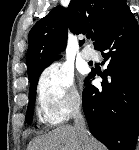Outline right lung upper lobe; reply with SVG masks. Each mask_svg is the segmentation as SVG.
<instances>
[{
	"label": "right lung upper lobe",
	"instance_id": "obj_1",
	"mask_svg": "<svg viewBox=\"0 0 139 150\" xmlns=\"http://www.w3.org/2000/svg\"><path fill=\"white\" fill-rule=\"evenodd\" d=\"M128 10L126 0H71L67 9L55 7L29 32L26 56L29 80L64 51L68 27L74 34L91 31L97 48Z\"/></svg>",
	"mask_w": 139,
	"mask_h": 150
}]
</instances>
